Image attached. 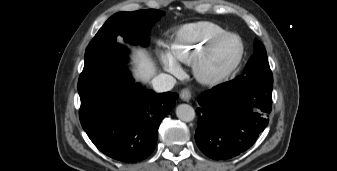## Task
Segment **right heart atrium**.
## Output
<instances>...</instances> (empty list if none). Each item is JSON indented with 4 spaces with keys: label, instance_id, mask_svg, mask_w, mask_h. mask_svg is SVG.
Masks as SVG:
<instances>
[{
    "label": "right heart atrium",
    "instance_id": "d8ad5b80",
    "mask_svg": "<svg viewBox=\"0 0 337 171\" xmlns=\"http://www.w3.org/2000/svg\"><path fill=\"white\" fill-rule=\"evenodd\" d=\"M161 62L166 71L174 76H180L182 74V68L179 63L166 53H161Z\"/></svg>",
    "mask_w": 337,
    "mask_h": 171
}]
</instances>
